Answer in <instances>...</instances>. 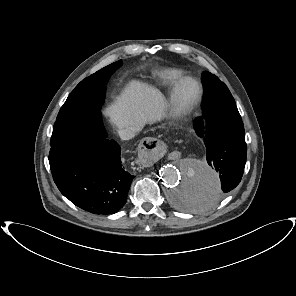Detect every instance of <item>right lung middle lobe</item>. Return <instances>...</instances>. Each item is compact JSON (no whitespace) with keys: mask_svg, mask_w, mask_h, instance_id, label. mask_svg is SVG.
<instances>
[{"mask_svg":"<svg viewBox=\"0 0 296 296\" xmlns=\"http://www.w3.org/2000/svg\"><path fill=\"white\" fill-rule=\"evenodd\" d=\"M122 65L114 62L81 81L61 107L53 127L51 147L73 146L91 137H104L101 120L105 84Z\"/></svg>","mask_w":296,"mask_h":296,"instance_id":"right-lung-middle-lobe-1","label":"right lung middle lobe"}]
</instances>
